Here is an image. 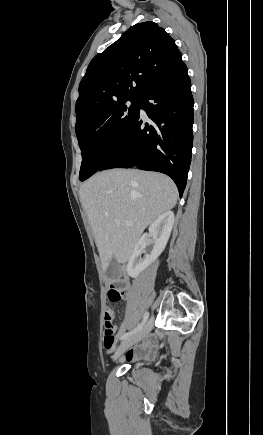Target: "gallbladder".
Here are the masks:
<instances>
[{"label": "gallbladder", "instance_id": "gallbladder-1", "mask_svg": "<svg viewBox=\"0 0 263 435\" xmlns=\"http://www.w3.org/2000/svg\"><path fill=\"white\" fill-rule=\"evenodd\" d=\"M105 273L107 278L110 280H116L121 277L122 269L115 258L110 261Z\"/></svg>", "mask_w": 263, "mask_h": 435}]
</instances>
